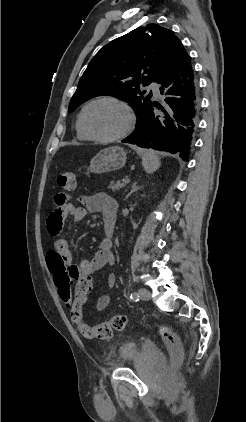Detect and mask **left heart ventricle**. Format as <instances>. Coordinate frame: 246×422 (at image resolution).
<instances>
[{"label":"left heart ventricle","mask_w":246,"mask_h":422,"mask_svg":"<svg viewBox=\"0 0 246 422\" xmlns=\"http://www.w3.org/2000/svg\"><path fill=\"white\" fill-rule=\"evenodd\" d=\"M127 122L125 111L113 102H99L86 113L89 130L98 136L109 137L121 132Z\"/></svg>","instance_id":"left-heart-ventricle-1"}]
</instances>
